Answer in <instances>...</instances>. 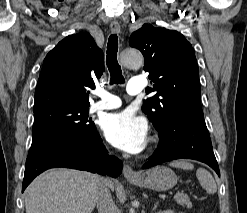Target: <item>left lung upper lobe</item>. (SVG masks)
I'll return each mask as SVG.
<instances>
[{
  "instance_id": "1",
  "label": "left lung upper lobe",
  "mask_w": 247,
  "mask_h": 213,
  "mask_svg": "<svg viewBox=\"0 0 247 213\" xmlns=\"http://www.w3.org/2000/svg\"><path fill=\"white\" fill-rule=\"evenodd\" d=\"M144 58V70L155 83L146 93L156 94L144 101L142 110L158 132L179 117L203 118L200 103L199 70L194 50L179 32L144 24L129 40Z\"/></svg>"
}]
</instances>
